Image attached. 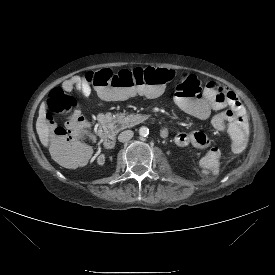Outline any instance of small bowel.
<instances>
[{
  "label": "small bowel",
  "instance_id": "obj_1",
  "mask_svg": "<svg viewBox=\"0 0 275 275\" xmlns=\"http://www.w3.org/2000/svg\"><path fill=\"white\" fill-rule=\"evenodd\" d=\"M65 90L76 89L81 96H87L90 85L86 80L73 77L63 83ZM175 102L191 116L210 120L212 127L218 131L226 132L230 137V148L235 154L241 153L248 141L249 122L237 95L225 86L210 82L201 93L193 92L187 88H177ZM81 129L82 122H70ZM163 132L168 135L169 129L164 127ZM165 136V137H166ZM177 141L181 144H192L195 151L204 153L198 160V165L205 175L215 178L222 171L221 161L223 154L220 149L211 147V141L203 132L179 133Z\"/></svg>",
  "mask_w": 275,
  "mask_h": 275
}]
</instances>
